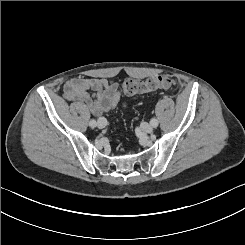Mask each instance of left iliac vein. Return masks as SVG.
Here are the masks:
<instances>
[{"label": "left iliac vein", "mask_w": 245, "mask_h": 245, "mask_svg": "<svg viewBox=\"0 0 245 245\" xmlns=\"http://www.w3.org/2000/svg\"><path fill=\"white\" fill-rule=\"evenodd\" d=\"M141 128L145 133H151L153 131V126L146 122L142 123Z\"/></svg>", "instance_id": "obj_1"}]
</instances>
